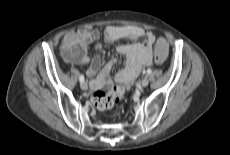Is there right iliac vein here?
<instances>
[{
    "label": "right iliac vein",
    "instance_id": "right-iliac-vein-1",
    "mask_svg": "<svg viewBox=\"0 0 230 155\" xmlns=\"http://www.w3.org/2000/svg\"><path fill=\"white\" fill-rule=\"evenodd\" d=\"M80 87H81L82 90H87L88 89V85H87L86 82H81Z\"/></svg>",
    "mask_w": 230,
    "mask_h": 155
}]
</instances>
